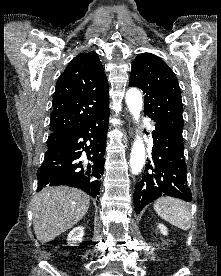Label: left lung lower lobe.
I'll return each instance as SVG.
<instances>
[{"label":"left lung lower lobe","instance_id":"1","mask_svg":"<svg viewBox=\"0 0 221 276\" xmlns=\"http://www.w3.org/2000/svg\"><path fill=\"white\" fill-rule=\"evenodd\" d=\"M152 157L134 192L136 213L160 196H172L187 202L192 200L187 185L183 138L177 133L155 126L152 132Z\"/></svg>","mask_w":221,"mask_h":276}]
</instances>
